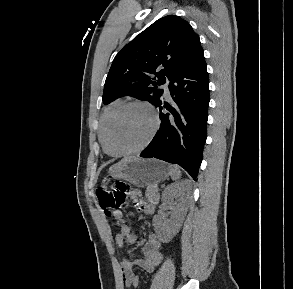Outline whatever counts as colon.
Masks as SVG:
<instances>
[{
    "label": "colon",
    "instance_id": "colon-1",
    "mask_svg": "<svg viewBox=\"0 0 293 289\" xmlns=\"http://www.w3.org/2000/svg\"><path fill=\"white\" fill-rule=\"evenodd\" d=\"M104 186L100 187L96 191V198L99 204V207L104 212L105 215L110 216L113 213L121 208L126 201L127 196L134 192L132 186L123 183L116 182L112 189H107L105 185L108 183V179L104 180ZM136 206H139V202L136 199Z\"/></svg>",
    "mask_w": 293,
    "mask_h": 289
}]
</instances>
